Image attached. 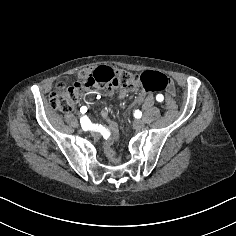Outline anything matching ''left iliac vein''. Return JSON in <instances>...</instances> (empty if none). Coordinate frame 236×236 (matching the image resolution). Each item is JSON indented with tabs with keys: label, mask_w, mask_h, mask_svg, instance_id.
<instances>
[{
	"label": "left iliac vein",
	"mask_w": 236,
	"mask_h": 236,
	"mask_svg": "<svg viewBox=\"0 0 236 236\" xmlns=\"http://www.w3.org/2000/svg\"><path fill=\"white\" fill-rule=\"evenodd\" d=\"M144 128V123L142 121H137L134 124V129L135 130H142Z\"/></svg>",
	"instance_id": "4c4485c4"
}]
</instances>
